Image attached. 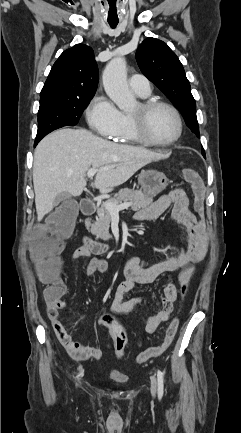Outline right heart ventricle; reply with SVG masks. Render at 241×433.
<instances>
[{"mask_svg": "<svg viewBox=\"0 0 241 433\" xmlns=\"http://www.w3.org/2000/svg\"><path fill=\"white\" fill-rule=\"evenodd\" d=\"M122 116H123V121H122L121 128L112 137L113 141L126 143V144L141 143V141L138 139V137L135 135L133 131L131 120H130V114L122 113Z\"/></svg>", "mask_w": 241, "mask_h": 433, "instance_id": "1", "label": "right heart ventricle"}]
</instances>
